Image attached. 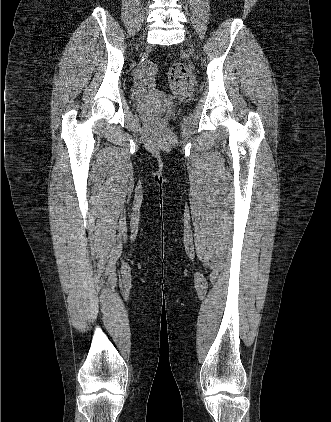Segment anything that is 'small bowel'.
I'll return each instance as SVG.
<instances>
[{"mask_svg": "<svg viewBox=\"0 0 331 422\" xmlns=\"http://www.w3.org/2000/svg\"><path fill=\"white\" fill-rule=\"evenodd\" d=\"M152 85V81L151 80H146L143 79L142 81V89L146 90L147 88H149Z\"/></svg>", "mask_w": 331, "mask_h": 422, "instance_id": "c3829d8e", "label": "small bowel"}]
</instances>
